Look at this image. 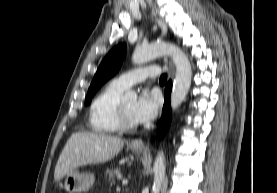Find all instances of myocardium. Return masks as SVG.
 I'll return each mask as SVG.
<instances>
[{
	"label": "myocardium",
	"mask_w": 277,
	"mask_h": 193,
	"mask_svg": "<svg viewBox=\"0 0 277 193\" xmlns=\"http://www.w3.org/2000/svg\"><path fill=\"white\" fill-rule=\"evenodd\" d=\"M117 115L120 130L133 131L138 127V124L127 116L122 102H119L118 104Z\"/></svg>",
	"instance_id": "myocardium-1"
}]
</instances>
